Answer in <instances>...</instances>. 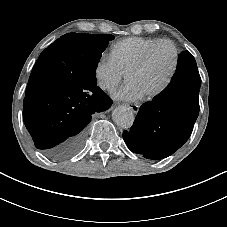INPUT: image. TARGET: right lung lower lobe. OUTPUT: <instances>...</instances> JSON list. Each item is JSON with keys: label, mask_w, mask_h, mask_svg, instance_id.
Masks as SVG:
<instances>
[{"label": "right lung lower lobe", "mask_w": 227, "mask_h": 227, "mask_svg": "<svg viewBox=\"0 0 227 227\" xmlns=\"http://www.w3.org/2000/svg\"><path fill=\"white\" fill-rule=\"evenodd\" d=\"M111 104L96 83L69 88L50 82L25 96L23 120L44 156L64 160L82 148L92 115Z\"/></svg>", "instance_id": "1"}]
</instances>
